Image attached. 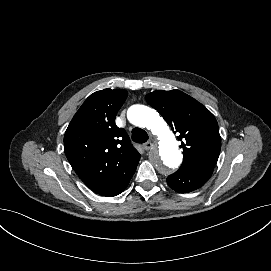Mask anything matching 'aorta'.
<instances>
[{"mask_svg":"<svg viewBox=\"0 0 271 271\" xmlns=\"http://www.w3.org/2000/svg\"><path fill=\"white\" fill-rule=\"evenodd\" d=\"M127 117L132 124L145 127L158 136L159 146L151 152L150 159L160 173L169 174L181 164L178 144L158 112L144 105H134L128 109Z\"/></svg>","mask_w":271,"mask_h":271,"instance_id":"762f6f07","label":"aorta"}]
</instances>
